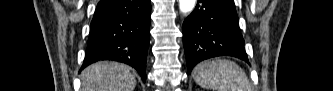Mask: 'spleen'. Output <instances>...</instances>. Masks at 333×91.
Wrapping results in <instances>:
<instances>
[{
  "instance_id": "obj_1",
  "label": "spleen",
  "mask_w": 333,
  "mask_h": 91,
  "mask_svg": "<svg viewBox=\"0 0 333 91\" xmlns=\"http://www.w3.org/2000/svg\"><path fill=\"white\" fill-rule=\"evenodd\" d=\"M195 82L213 91H251L244 70L235 62L216 59L197 65L193 70Z\"/></svg>"
}]
</instances>
